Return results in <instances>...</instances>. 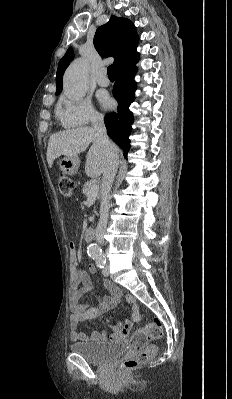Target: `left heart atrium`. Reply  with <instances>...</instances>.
Instances as JSON below:
<instances>
[{
  "mask_svg": "<svg viewBox=\"0 0 232 399\" xmlns=\"http://www.w3.org/2000/svg\"><path fill=\"white\" fill-rule=\"evenodd\" d=\"M103 105L107 109H112L114 107L113 102L110 99H104L103 100Z\"/></svg>",
  "mask_w": 232,
  "mask_h": 399,
  "instance_id": "left-heart-atrium-1",
  "label": "left heart atrium"
}]
</instances>
